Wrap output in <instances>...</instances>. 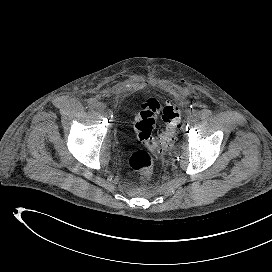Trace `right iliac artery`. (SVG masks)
Masks as SVG:
<instances>
[{"label": "right iliac artery", "instance_id": "right-iliac-artery-1", "mask_svg": "<svg viewBox=\"0 0 272 272\" xmlns=\"http://www.w3.org/2000/svg\"><path fill=\"white\" fill-rule=\"evenodd\" d=\"M98 102L95 99H90L88 101V106L92 109L95 108L97 106Z\"/></svg>", "mask_w": 272, "mask_h": 272}]
</instances>
